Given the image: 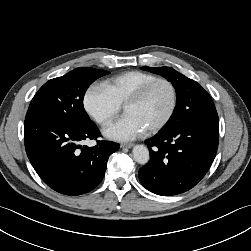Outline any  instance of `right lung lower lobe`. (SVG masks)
I'll use <instances>...</instances> for the list:
<instances>
[{"label":"right lung lower lobe","mask_w":251,"mask_h":251,"mask_svg":"<svg viewBox=\"0 0 251 251\" xmlns=\"http://www.w3.org/2000/svg\"><path fill=\"white\" fill-rule=\"evenodd\" d=\"M24 134L35 171L50 188L69 196L94 189L104 177L109 156L119 149L109 141H97L94 147L79 145L100 137L95 124L81 129L36 113L26 114Z\"/></svg>","instance_id":"1"}]
</instances>
